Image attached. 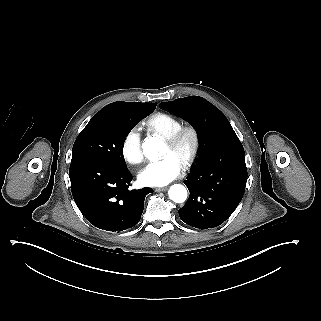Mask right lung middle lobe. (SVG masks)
<instances>
[{
	"mask_svg": "<svg viewBox=\"0 0 321 321\" xmlns=\"http://www.w3.org/2000/svg\"><path fill=\"white\" fill-rule=\"evenodd\" d=\"M154 110L147 108L135 114H124L110 104L96 113L75 140L72 161L98 160L117 167H126L124 141L132 128Z\"/></svg>",
	"mask_w": 321,
	"mask_h": 321,
	"instance_id": "obj_1",
	"label": "right lung middle lobe"
}]
</instances>
